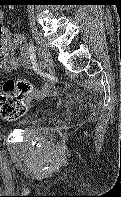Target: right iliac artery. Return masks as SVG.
<instances>
[{
  "label": "right iliac artery",
  "instance_id": "obj_1",
  "mask_svg": "<svg viewBox=\"0 0 121 197\" xmlns=\"http://www.w3.org/2000/svg\"><path fill=\"white\" fill-rule=\"evenodd\" d=\"M38 66H39L40 68L45 67L44 62L40 60L39 63H38Z\"/></svg>",
  "mask_w": 121,
  "mask_h": 197
}]
</instances>
